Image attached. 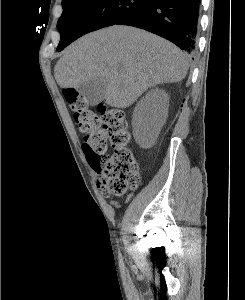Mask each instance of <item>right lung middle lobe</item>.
Masks as SVG:
<instances>
[{
  "instance_id": "dd1d6c3e",
  "label": "right lung middle lobe",
  "mask_w": 245,
  "mask_h": 300,
  "mask_svg": "<svg viewBox=\"0 0 245 300\" xmlns=\"http://www.w3.org/2000/svg\"><path fill=\"white\" fill-rule=\"evenodd\" d=\"M151 0H62L63 13L57 29L63 50L82 35L116 24Z\"/></svg>"
}]
</instances>
